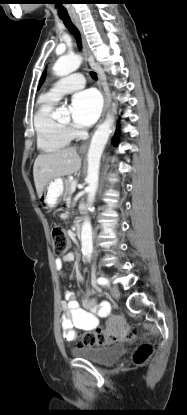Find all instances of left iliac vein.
Segmentation results:
<instances>
[{
    "instance_id": "4c4485c4",
    "label": "left iliac vein",
    "mask_w": 187,
    "mask_h": 415,
    "mask_svg": "<svg viewBox=\"0 0 187 415\" xmlns=\"http://www.w3.org/2000/svg\"><path fill=\"white\" fill-rule=\"evenodd\" d=\"M110 292H111V295H112L115 299H118V298L120 297V291H119V289H118V287H117V286H113V287H111Z\"/></svg>"
}]
</instances>
